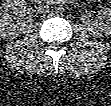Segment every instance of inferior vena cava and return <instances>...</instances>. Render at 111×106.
<instances>
[{"label":"inferior vena cava","instance_id":"inferior-vena-cava-1","mask_svg":"<svg viewBox=\"0 0 111 106\" xmlns=\"http://www.w3.org/2000/svg\"><path fill=\"white\" fill-rule=\"evenodd\" d=\"M37 11L40 14H47L50 12V7L45 3H40L37 7Z\"/></svg>","mask_w":111,"mask_h":106}]
</instances>
